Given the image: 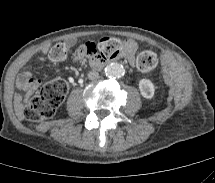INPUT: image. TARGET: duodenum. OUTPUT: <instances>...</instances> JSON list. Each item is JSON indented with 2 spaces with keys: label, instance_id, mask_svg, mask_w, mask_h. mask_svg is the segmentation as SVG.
I'll list each match as a JSON object with an SVG mask.
<instances>
[{
  "label": "duodenum",
  "instance_id": "1",
  "mask_svg": "<svg viewBox=\"0 0 215 183\" xmlns=\"http://www.w3.org/2000/svg\"><path fill=\"white\" fill-rule=\"evenodd\" d=\"M111 61H103V60H94L90 63V68L91 69H99L105 65H107L108 63H110Z\"/></svg>",
  "mask_w": 215,
  "mask_h": 183
}]
</instances>
